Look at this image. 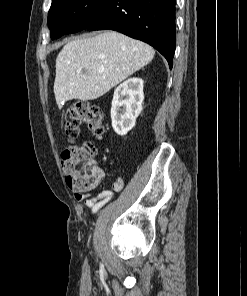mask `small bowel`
<instances>
[{
	"label": "small bowel",
	"instance_id": "small-bowel-1",
	"mask_svg": "<svg viewBox=\"0 0 247 296\" xmlns=\"http://www.w3.org/2000/svg\"><path fill=\"white\" fill-rule=\"evenodd\" d=\"M102 175L105 177L106 173L102 171ZM123 187V178L119 175H116L112 184V190L103 189L96 195H91L86 192H77L75 193L74 197L76 201L83 202L92 213H96L112 199L114 191L119 192L123 189Z\"/></svg>",
	"mask_w": 247,
	"mask_h": 296
}]
</instances>
